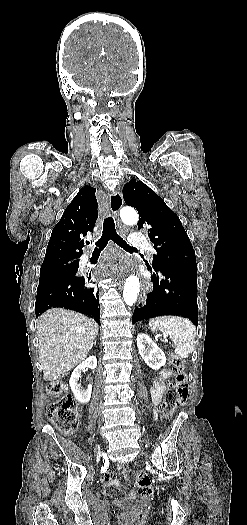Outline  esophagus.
I'll list each match as a JSON object with an SVG mask.
<instances>
[{"mask_svg":"<svg viewBox=\"0 0 247 525\" xmlns=\"http://www.w3.org/2000/svg\"><path fill=\"white\" fill-rule=\"evenodd\" d=\"M108 197H109L110 210L118 218L119 210L123 206L122 193L119 192V190H114L113 192L108 193ZM128 273H136V276L139 278L138 279L139 285H142L141 290H140L139 302H138V307L142 308L145 305L146 298H147L146 287L143 284L145 282V279H143L142 269H139L137 265H134L132 267V264H129Z\"/></svg>","mask_w":247,"mask_h":525,"instance_id":"1","label":"esophagus"}]
</instances>
